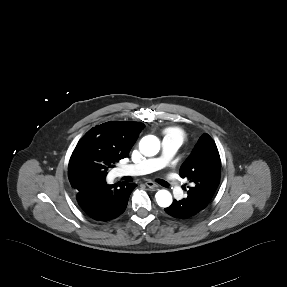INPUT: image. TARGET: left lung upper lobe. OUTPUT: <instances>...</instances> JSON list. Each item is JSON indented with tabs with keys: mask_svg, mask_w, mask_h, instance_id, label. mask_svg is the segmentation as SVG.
I'll list each match as a JSON object with an SVG mask.
<instances>
[{
	"mask_svg": "<svg viewBox=\"0 0 287 287\" xmlns=\"http://www.w3.org/2000/svg\"><path fill=\"white\" fill-rule=\"evenodd\" d=\"M220 168L221 160L216 144L205 133L180 168V176L192 182L186 198L190 204L201 209L209 204L220 182Z\"/></svg>",
	"mask_w": 287,
	"mask_h": 287,
	"instance_id": "left-lung-upper-lobe-1",
	"label": "left lung upper lobe"
}]
</instances>
